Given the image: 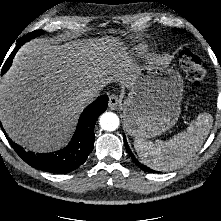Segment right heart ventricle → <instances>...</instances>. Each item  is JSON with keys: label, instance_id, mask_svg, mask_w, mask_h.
I'll return each instance as SVG.
<instances>
[{"label": "right heart ventricle", "instance_id": "obj_1", "mask_svg": "<svg viewBox=\"0 0 221 221\" xmlns=\"http://www.w3.org/2000/svg\"><path fill=\"white\" fill-rule=\"evenodd\" d=\"M143 50H144V47H138V48H136V52H137V53H141ZM131 56H132V55H129V54L119 56L118 59H117L118 65H124V63H126V62L129 61V58H130Z\"/></svg>", "mask_w": 221, "mask_h": 221}]
</instances>
